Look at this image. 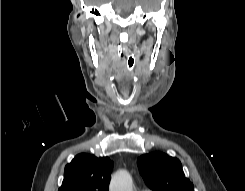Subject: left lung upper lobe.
Wrapping results in <instances>:
<instances>
[{
	"mask_svg": "<svg viewBox=\"0 0 245 191\" xmlns=\"http://www.w3.org/2000/svg\"><path fill=\"white\" fill-rule=\"evenodd\" d=\"M137 163L147 186L154 191H194L177 158L153 152L139 157Z\"/></svg>",
	"mask_w": 245,
	"mask_h": 191,
	"instance_id": "left-lung-upper-lobe-1",
	"label": "left lung upper lobe"
}]
</instances>
